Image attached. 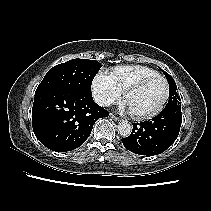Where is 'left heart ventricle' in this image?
<instances>
[{
	"instance_id": "1",
	"label": "left heart ventricle",
	"mask_w": 211,
	"mask_h": 211,
	"mask_svg": "<svg viewBox=\"0 0 211 211\" xmlns=\"http://www.w3.org/2000/svg\"><path fill=\"white\" fill-rule=\"evenodd\" d=\"M166 92L162 80H154L141 89L128 95L126 104L130 111L145 114L155 110L162 102Z\"/></svg>"
}]
</instances>
